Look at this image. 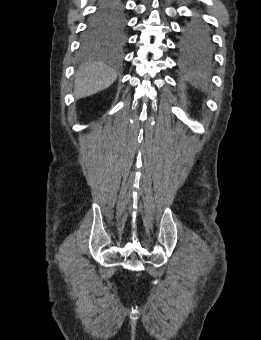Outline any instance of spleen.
<instances>
[{
	"label": "spleen",
	"instance_id": "spleen-1",
	"mask_svg": "<svg viewBox=\"0 0 261 340\" xmlns=\"http://www.w3.org/2000/svg\"><path fill=\"white\" fill-rule=\"evenodd\" d=\"M189 79L191 83L196 87H198L201 84V79H200L199 74L193 73L190 75Z\"/></svg>",
	"mask_w": 261,
	"mask_h": 340
}]
</instances>
